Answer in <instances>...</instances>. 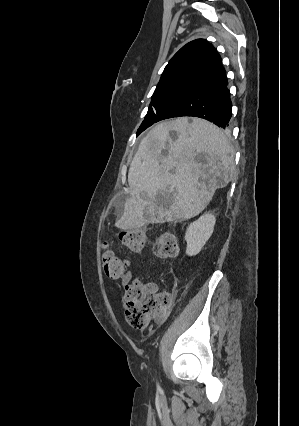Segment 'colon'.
Returning <instances> with one entry per match:
<instances>
[{"mask_svg":"<svg viewBox=\"0 0 299 426\" xmlns=\"http://www.w3.org/2000/svg\"><path fill=\"white\" fill-rule=\"evenodd\" d=\"M119 238L125 247L138 252L146 244L147 233L143 228L130 229L121 232ZM153 249L155 255L160 258L174 257L178 251L176 237L169 232L160 234ZM102 264L107 276L118 278L126 273L128 260L104 245ZM170 304V296L165 293H155L152 286L134 282L125 287L123 294L125 317L128 323L136 329H143L152 318L163 316Z\"/></svg>","mask_w":299,"mask_h":426,"instance_id":"1","label":"colon"}]
</instances>
